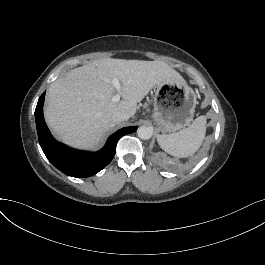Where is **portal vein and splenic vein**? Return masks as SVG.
<instances>
[{
	"label": "portal vein and splenic vein",
	"mask_w": 265,
	"mask_h": 265,
	"mask_svg": "<svg viewBox=\"0 0 265 265\" xmlns=\"http://www.w3.org/2000/svg\"><path fill=\"white\" fill-rule=\"evenodd\" d=\"M113 86L116 89V94L113 97L114 102H119L121 100L122 86L120 81L117 78L113 79Z\"/></svg>",
	"instance_id": "obj_1"
}]
</instances>
